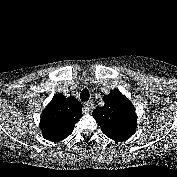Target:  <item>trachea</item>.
I'll list each match as a JSON object with an SVG mask.
<instances>
[{"mask_svg": "<svg viewBox=\"0 0 177 177\" xmlns=\"http://www.w3.org/2000/svg\"><path fill=\"white\" fill-rule=\"evenodd\" d=\"M90 97L89 91L87 89H83L80 93V98L82 101H88Z\"/></svg>", "mask_w": 177, "mask_h": 177, "instance_id": "trachea-1", "label": "trachea"}]
</instances>
